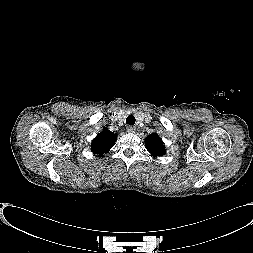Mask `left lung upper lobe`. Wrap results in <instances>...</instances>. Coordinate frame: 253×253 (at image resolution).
Here are the masks:
<instances>
[{
    "label": "left lung upper lobe",
    "instance_id": "1",
    "mask_svg": "<svg viewBox=\"0 0 253 253\" xmlns=\"http://www.w3.org/2000/svg\"><path fill=\"white\" fill-rule=\"evenodd\" d=\"M145 143L147 150L153 156L157 157L165 154V147L162 142V139L156 133L149 135L146 138Z\"/></svg>",
    "mask_w": 253,
    "mask_h": 253
}]
</instances>
